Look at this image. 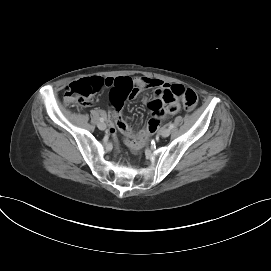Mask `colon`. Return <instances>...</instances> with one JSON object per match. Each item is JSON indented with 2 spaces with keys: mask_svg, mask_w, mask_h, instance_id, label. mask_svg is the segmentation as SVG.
Returning <instances> with one entry per match:
<instances>
[{
  "mask_svg": "<svg viewBox=\"0 0 271 271\" xmlns=\"http://www.w3.org/2000/svg\"><path fill=\"white\" fill-rule=\"evenodd\" d=\"M101 78L81 79L72 82L65 90L64 102L68 105L87 106L91 104L92 97L98 92L97 83ZM162 100L166 106H172L180 101L186 110H193L198 102V96L192 89L174 84L164 90ZM158 122L151 119L147 128L140 133L136 146L142 145L154 133Z\"/></svg>",
  "mask_w": 271,
  "mask_h": 271,
  "instance_id": "1",
  "label": "colon"
}]
</instances>
